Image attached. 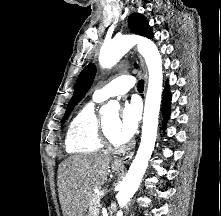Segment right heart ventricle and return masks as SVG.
Listing matches in <instances>:
<instances>
[{
    "label": "right heart ventricle",
    "mask_w": 221,
    "mask_h": 216,
    "mask_svg": "<svg viewBox=\"0 0 221 216\" xmlns=\"http://www.w3.org/2000/svg\"><path fill=\"white\" fill-rule=\"evenodd\" d=\"M96 102L94 100L84 105L71 121L66 134V149L69 153L92 154L103 150Z\"/></svg>",
    "instance_id": "right-heart-ventricle-1"
}]
</instances>
